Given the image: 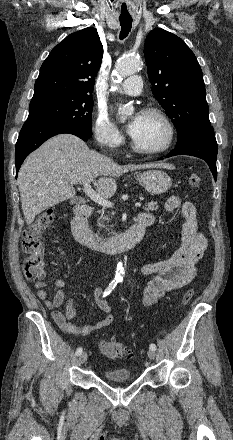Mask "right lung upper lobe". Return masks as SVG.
I'll return each mask as SVG.
<instances>
[{
    "label": "right lung upper lobe",
    "mask_w": 233,
    "mask_h": 440,
    "mask_svg": "<svg viewBox=\"0 0 233 440\" xmlns=\"http://www.w3.org/2000/svg\"><path fill=\"white\" fill-rule=\"evenodd\" d=\"M102 57L103 46L95 28L70 34L43 62L31 103L58 97H91Z\"/></svg>",
    "instance_id": "obj_1"
}]
</instances>
